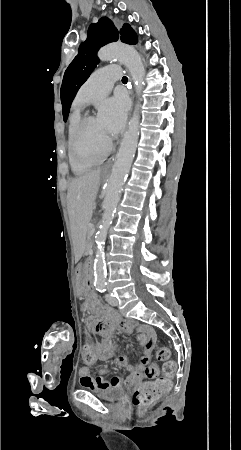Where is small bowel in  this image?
Instances as JSON below:
<instances>
[{
	"mask_svg": "<svg viewBox=\"0 0 241 450\" xmlns=\"http://www.w3.org/2000/svg\"><path fill=\"white\" fill-rule=\"evenodd\" d=\"M94 306L93 298H84L81 309L86 311L88 307ZM86 316L89 314L87 311L84 313ZM105 322V321H102ZM88 328L94 333H100L102 337L101 343H95V347L99 348V355L95 356V362L106 361L111 358L113 351L116 348L113 340V333L116 330L123 331L125 333H137V340L142 348V355L138 364L134 365L124 355L120 354L116 358V362L130 371V375L127 377L113 376L109 380H104L98 376L93 378L90 373V369L83 367L80 370V380L83 387L91 390H108L111 388H120L123 386H137L146 377L145 371L150 364L153 349L157 342V333L151 325L138 323L134 320H123L115 327L109 328L107 324H96L93 322L88 325ZM85 362V361H84Z\"/></svg>",
	"mask_w": 241,
	"mask_h": 450,
	"instance_id": "obj_1",
	"label": "small bowel"
}]
</instances>
